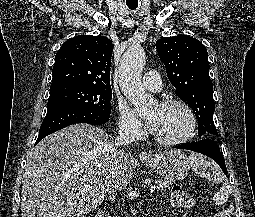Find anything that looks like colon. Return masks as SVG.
Listing matches in <instances>:
<instances>
[{
    "label": "colon",
    "instance_id": "5ec220e1",
    "mask_svg": "<svg viewBox=\"0 0 255 217\" xmlns=\"http://www.w3.org/2000/svg\"><path fill=\"white\" fill-rule=\"evenodd\" d=\"M171 200L173 205L178 208L189 210L193 207V199L180 187L173 188Z\"/></svg>",
    "mask_w": 255,
    "mask_h": 217
}]
</instances>
